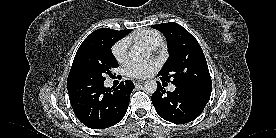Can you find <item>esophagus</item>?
Here are the masks:
<instances>
[{
	"label": "esophagus",
	"instance_id": "obj_1",
	"mask_svg": "<svg viewBox=\"0 0 276 138\" xmlns=\"http://www.w3.org/2000/svg\"><path fill=\"white\" fill-rule=\"evenodd\" d=\"M133 83H134L135 85H138V84H142L143 81H141V80H134Z\"/></svg>",
	"mask_w": 276,
	"mask_h": 138
}]
</instances>
